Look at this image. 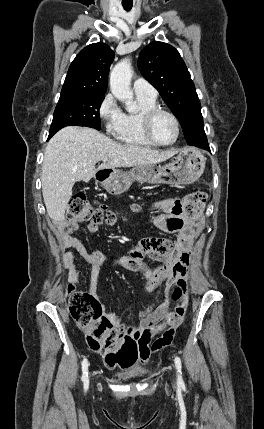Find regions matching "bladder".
Listing matches in <instances>:
<instances>
[{
    "instance_id": "obj_1",
    "label": "bladder",
    "mask_w": 264,
    "mask_h": 429,
    "mask_svg": "<svg viewBox=\"0 0 264 429\" xmlns=\"http://www.w3.org/2000/svg\"><path fill=\"white\" fill-rule=\"evenodd\" d=\"M147 374L143 372H136L130 375H120L122 379H131V378H142L145 377Z\"/></svg>"
}]
</instances>
